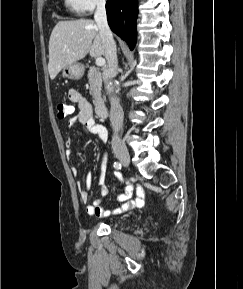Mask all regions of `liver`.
I'll return each mask as SVG.
<instances>
[{"mask_svg": "<svg viewBox=\"0 0 243 289\" xmlns=\"http://www.w3.org/2000/svg\"><path fill=\"white\" fill-rule=\"evenodd\" d=\"M88 53L91 57L105 55V45L94 21H59L49 40L50 78L55 79L61 69L83 59Z\"/></svg>", "mask_w": 243, "mask_h": 289, "instance_id": "1", "label": "liver"}]
</instances>
